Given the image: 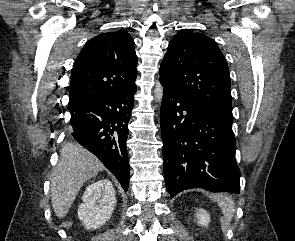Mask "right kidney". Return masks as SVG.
<instances>
[{"mask_svg": "<svg viewBox=\"0 0 295 241\" xmlns=\"http://www.w3.org/2000/svg\"><path fill=\"white\" fill-rule=\"evenodd\" d=\"M79 206L78 217L86 229H96L104 225L111 217L116 205L113 184L108 179H101L90 184Z\"/></svg>", "mask_w": 295, "mask_h": 241, "instance_id": "ca27d5eb", "label": "right kidney"}]
</instances>
